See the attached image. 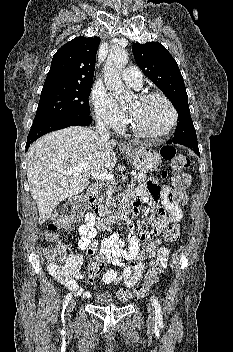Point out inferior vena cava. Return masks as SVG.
Returning <instances> with one entry per match:
<instances>
[{"instance_id":"602c4592","label":"inferior vena cava","mask_w":233,"mask_h":352,"mask_svg":"<svg viewBox=\"0 0 233 352\" xmlns=\"http://www.w3.org/2000/svg\"><path fill=\"white\" fill-rule=\"evenodd\" d=\"M96 132L99 134L101 139L107 141L110 139V134H109V129L108 126L106 125L105 122H103L101 119L97 120L96 123Z\"/></svg>"}]
</instances>
